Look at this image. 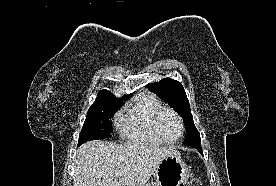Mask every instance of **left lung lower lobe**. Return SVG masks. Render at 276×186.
Wrapping results in <instances>:
<instances>
[{
    "instance_id": "left-lung-lower-lobe-1",
    "label": "left lung lower lobe",
    "mask_w": 276,
    "mask_h": 186,
    "mask_svg": "<svg viewBox=\"0 0 276 186\" xmlns=\"http://www.w3.org/2000/svg\"><path fill=\"white\" fill-rule=\"evenodd\" d=\"M193 148L197 149L203 155V152L201 151V145H196Z\"/></svg>"
}]
</instances>
